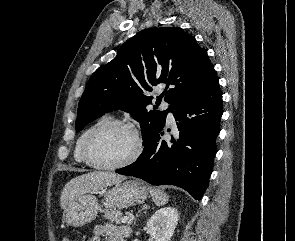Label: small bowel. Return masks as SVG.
I'll return each mask as SVG.
<instances>
[{
	"mask_svg": "<svg viewBox=\"0 0 295 241\" xmlns=\"http://www.w3.org/2000/svg\"><path fill=\"white\" fill-rule=\"evenodd\" d=\"M130 229L126 226H116L111 223L103 225H96L93 230V235L88 241H127L130 236ZM68 241L69 239H63L62 241Z\"/></svg>",
	"mask_w": 295,
	"mask_h": 241,
	"instance_id": "small-bowel-1",
	"label": "small bowel"
}]
</instances>
